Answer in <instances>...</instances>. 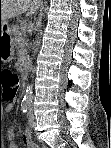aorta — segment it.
I'll use <instances>...</instances> for the list:
<instances>
[{
    "instance_id": "obj_1",
    "label": "aorta",
    "mask_w": 111,
    "mask_h": 148,
    "mask_svg": "<svg viewBox=\"0 0 111 148\" xmlns=\"http://www.w3.org/2000/svg\"><path fill=\"white\" fill-rule=\"evenodd\" d=\"M41 34H42V32L41 31H38L37 38H36V41L34 42V47H33L34 53L37 52V50H38V48L40 46ZM32 99H33L32 87L27 86L26 94L24 96L23 101H24L25 104L28 105V104H31L32 103Z\"/></svg>"
}]
</instances>
